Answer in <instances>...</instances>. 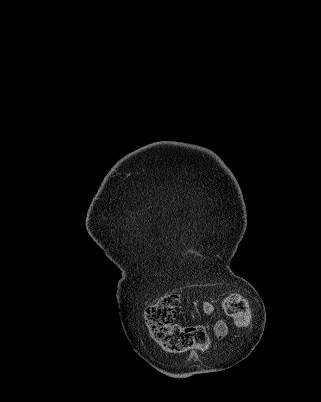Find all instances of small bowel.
I'll use <instances>...</instances> for the list:
<instances>
[{
	"mask_svg": "<svg viewBox=\"0 0 321 402\" xmlns=\"http://www.w3.org/2000/svg\"><path fill=\"white\" fill-rule=\"evenodd\" d=\"M201 309L207 315H214L216 312L214 304L208 301L202 303ZM213 330L218 337H224L228 334L229 328L225 321L217 320L213 325Z\"/></svg>",
	"mask_w": 321,
	"mask_h": 402,
	"instance_id": "obj_1",
	"label": "small bowel"
}]
</instances>
